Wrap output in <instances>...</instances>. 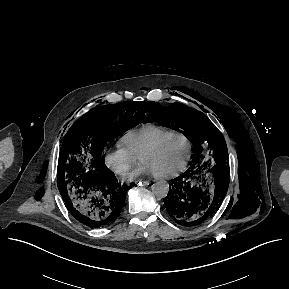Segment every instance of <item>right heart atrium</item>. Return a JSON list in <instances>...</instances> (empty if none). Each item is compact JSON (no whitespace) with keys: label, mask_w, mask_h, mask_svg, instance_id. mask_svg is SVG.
I'll use <instances>...</instances> for the list:
<instances>
[{"label":"right heart atrium","mask_w":289,"mask_h":289,"mask_svg":"<svg viewBox=\"0 0 289 289\" xmlns=\"http://www.w3.org/2000/svg\"><path fill=\"white\" fill-rule=\"evenodd\" d=\"M104 162L119 176L126 175L138 162V157L121 143L105 152Z\"/></svg>","instance_id":"1"}]
</instances>
